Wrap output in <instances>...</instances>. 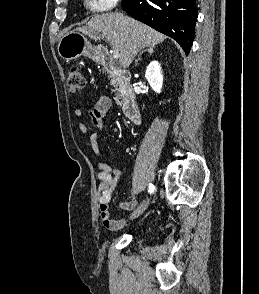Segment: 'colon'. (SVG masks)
Listing matches in <instances>:
<instances>
[{"label": "colon", "instance_id": "5ec220e1", "mask_svg": "<svg viewBox=\"0 0 259 294\" xmlns=\"http://www.w3.org/2000/svg\"><path fill=\"white\" fill-rule=\"evenodd\" d=\"M67 87L71 92H77L85 87L86 81L81 69L77 66H71L66 76Z\"/></svg>", "mask_w": 259, "mask_h": 294}]
</instances>
